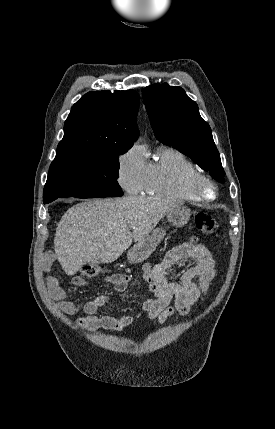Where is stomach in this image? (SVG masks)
<instances>
[{"label": "stomach", "instance_id": "1", "mask_svg": "<svg viewBox=\"0 0 275 429\" xmlns=\"http://www.w3.org/2000/svg\"><path fill=\"white\" fill-rule=\"evenodd\" d=\"M190 209L183 205H178L174 210L167 214L169 223L176 227L184 226L190 219ZM165 236L163 228H156L143 240L138 241L127 254L130 262H142L147 259L155 250L157 245L162 241Z\"/></svg>", "mask_w": 275, "mask_h": 429}]
</instances>
